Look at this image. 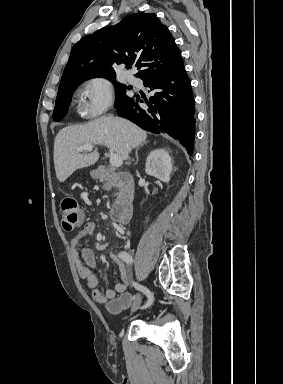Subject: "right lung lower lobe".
<instances>
[{
	"mask_svg": "<svg viewBox=\"0 0 283 384\" xmlns=\"http://www.w3.org/2000/svg\"><path fill=\"white\" fill-rule=\"evenodd\" d=\"M153 96L138 106L131 98L115 104L118 115L153 133L179 140L191 155L195 137V102L185 66L143 79ZM142 102V101H141Z\"/></svg>",
	"mask_w": 283,
	"mask_h": 384,
	"instance_id": "right-lung-lower-lobe-1",
	"label": "right lung lower lobe"
}]
</instances>
